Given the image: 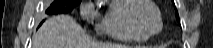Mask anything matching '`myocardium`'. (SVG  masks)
I'll use <instances>...</instances> for the list:
<instances>
[{
    "label": "myocardium",
    "instance_id": "obj_1",
    "mask_svg": "<svg viewBox=\"0 0 213 48\" xmlns=\"http://www.w3.org/2000/svg\"><path fill=\"white\" fill-rule=\"evenodd\" d=\"M140 4L148 5L154 9V11L157 15L158 23H159L158 29L156 31H154L152 33H144L138 27V25L134 19L133 13ZM126 18H127V21L129 23L130 27L133 29V31L136 34L143 36L147 39L157 35L162 30V27H163L162 15H161L159 8L155 5V3H153L152 1H149V0H132L128 9L126 10Z\"/></svg>",
    "mask_w": 213,
    "mask_h": 48
}]
</instances>
